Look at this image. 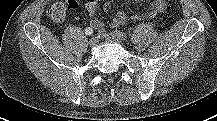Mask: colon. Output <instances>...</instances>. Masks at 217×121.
Instances as JSON below:
<instances>
[{
  "label": "colon",
  "mask_w": 217,
  "mask_h": 121,
  "mask_svg": "<svg viewBox=\"0 0 217 121\" xmlns=\"http://www.w3.org/2000/svg\"><path fill=\"white\" fill-rule=\"evenodd\" d=\"M47 13L51 20L61 22L66 17L67 6L65 2H55L49 6Z\"/></svg>",
  "instance_id": "colon-1"
}]
</instances>
